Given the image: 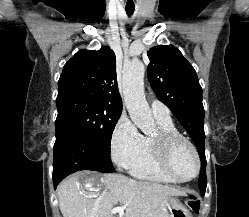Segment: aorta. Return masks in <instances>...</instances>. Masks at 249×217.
I'll return each instance as SVG.
<instances>
[{
	"label": "aorta",
	"instance_id": "762f6f07",
	"mask_svg": "<svg viewBox=\"0 0 249 217\" xmlns=\"http://www.w3.org/2000/svg\"><path fill=\"white\" fill-rule=\"evenodd\" d=\"M144 74L142 62L130 63L123 73V94L133 123L144 133H149L154 128V119L144 95Z\"/></svg>",
	"mask_w": 249,
	"mask_h": 217
}]
</instances>
